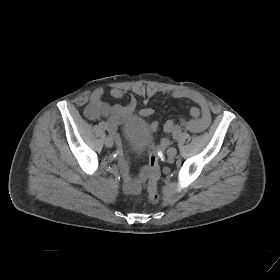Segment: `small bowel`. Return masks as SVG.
I'll return each mask as SVG.
<instances>
[{
	"label": "small bowel",
	"instance_id": "c3829d8e",
	"mask_svg": "<svg viewBox=\"0 0 280 280\" xmlns=\"http://www.w3.org/2000/svg\"><path fill=\"white\" fill-rule=\"evenodd\" d=\"M124 91L119 88H113L110 90V95L113 98H122ZM174 98L190 99L197 104V106L190 109V118L181 119L180 121L189 131L193 133H200L206 130L212 120L210 106L207 100L191 91H174L172 93ZM137 108V101L134 97H131L129 102L125 105H110L103 100V89L98 88L93 91L90 96V100L84 109L85 116L90 120H95L101 117L107 119V127L111 134L116 135L118 125L125 121ZM152 108H144L141 110V115L149 117L153 115ZM175 124V120H168L164 124V131L167 134L171 133V129ZM158 123H152V128H157ZM169 139L164 138L161 140L160 148H164L168 145ZM120 169L125 179V186L128 191L136 190L139 187V183L147 176V170H142L138 176H134L130 170V164L126 159L120 161Z\"/></svg>",
	"mask_w": 280,
	"mask_h": 280
}]
</instances>
